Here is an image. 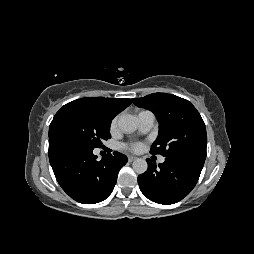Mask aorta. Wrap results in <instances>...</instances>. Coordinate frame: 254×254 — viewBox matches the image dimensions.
<instances>
[{
  "mask_svg": "<svg viewBox=\"0 0 254 254\" xmlns=\"http://www.w3.org/2000/svg\"><path fill=\"white\" fill-rule=\"evenodd\" d=\"M119 129L124 133H132L137 129V123L130 117H122L118 121ZM133 170L138 174H143L147 171L148 164L146 160L137 158L132 163Z\"/></svg>",
  "mask_w": 254,
  "mask_h": 254,
  "instance_id": "1",
  "label": "aorta"
}]
</instances>
